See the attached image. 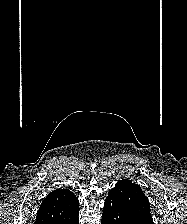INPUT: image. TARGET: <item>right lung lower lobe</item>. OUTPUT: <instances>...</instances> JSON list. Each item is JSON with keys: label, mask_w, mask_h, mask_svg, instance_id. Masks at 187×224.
Listing matches in <instances>:
<instances>
[{"label": "right lung lower lobe", "mask_w": 187, "mask_h": 224, "mask_svg": "<svg viewBox=\"0 0 187 224\" xmlns=\"http://www.w3.org/2000/svg\"><path fill=\"white\" fill-rule=\"evenodd\" d=\"M79 209L72 215V217L65 222V224H79Z\"/></svg>", "instance_id": "obj_1"}]
</instances>
